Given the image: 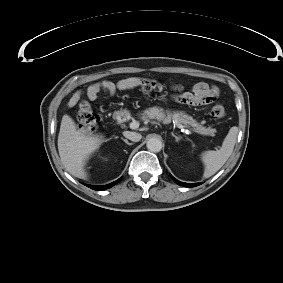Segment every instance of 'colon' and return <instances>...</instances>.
<instances>
[{
	"label": "colon",
	"instance_id": "obj_1",
	"mask_svg": "<svg viewBox=\"0 0 283 283\" xmlns=\"http://www.w3.org/2000/svg\"><path fill=\"white\" fill-rule=\"evenodd\" d=\"M211 118L214 120H219L225 117V108L216 104L211 108L210 111ZM99 122V117L95 114L88 104H81L78 111V134L84 135L92 133Z\"/></svg>",
	"mask_w": 283,
	"mask_h": 283
}]
</instances>
